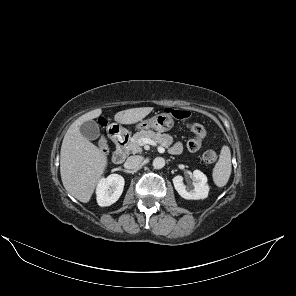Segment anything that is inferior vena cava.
<instances>
[{"label": "inferior vena cava", "instance_id": "obj_1", "mask_svg": "<svg viewBox=\"0 0 296 296\" xmlns=\"http://www.w3.org/2000/svg\"><path fill=\"white\" fill-rule=\"evenodd\" d=\"M143 157L139 155L128 157L126 164L129 168L134 169L139 167L142 164Z\"/></svg>", "mask_w": 296, "mask_h": 296}]
</instances>
